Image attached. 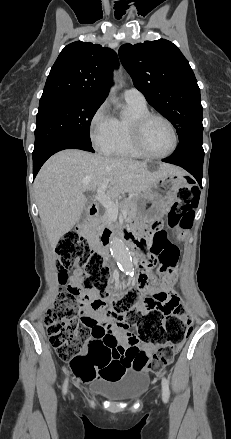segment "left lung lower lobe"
I'll return each instance as SVG.
<instances>
[{
	"instance_id": "1",
	"label": "left lung lower lobe",
	"mask_w": 231,
	"mask_h": 439,
	"mask_svg": "<svg viewBox=\"0 0 231 439\" xmlns=\"http://www.w3.org/2000/svg\"><path fill=\"white\" fill-rule=\"evenodd\" d=\"M203 128L190 130L179 139L175 152L162 160L167 163L178 165L192 174L200 186H202V169L204 150L202 148Z\"/></svg>"
}]
</instances>
